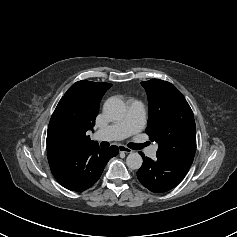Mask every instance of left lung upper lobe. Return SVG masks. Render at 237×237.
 Wrapping results in <instances>:
<instances>
[{"label": "left lung upper lobe", "mask_w": 237, "mask_h": 237, "mask_svg": "<svg viewBox=\"0 0 237 237\" xmlns=\"http://www.w3.org/2000/svg\"><path fill=\"white\" fill-rule=\"evenodd\" d=\"M149 102L146 133L159 144L157 155L192 164L196 151V125L183 94L170 82H141Z\"/></svg>", "instance_id": "5c2ea615"}]
</instances>
